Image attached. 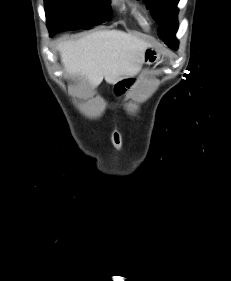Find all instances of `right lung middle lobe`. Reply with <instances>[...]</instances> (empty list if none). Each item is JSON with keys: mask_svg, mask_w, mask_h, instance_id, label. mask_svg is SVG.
<instances>
[{"mask_svg": "<svg viewBox=\"0 0 231 281\" xmlns=\"http://www.w3.org/2000/svg\"><path fill=\"white\" fill-rule=\"evenodd\" d=\"M48 29L90 28L110 20L109 0H44Z\"/></svg>", "mask_w": 231, "mask_h": 281, "instance_id": "right-lung-middle-lobe-1", "label": "right lung middle lobe"}]
</instances>
